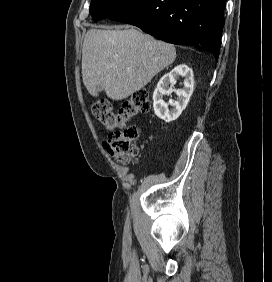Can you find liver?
Instances as JSON below:
<instances>
[{
    "label": "liver",
    "mask_w": 272,
    "mask_h": 282,
    "mask_svg": "<svg viewBox=\"0 0 272 282\" xmlns=\"http://www.w3.org/2000/svg\"><path fill=\"white\" fill-rule=\"evenodd\" d=\"M176 58L173 45L135 28L90 29L82 50V78L92 96L104 89L112 100L139 91Z\"/></svg>",
    "instance_id": "1"
}]
</instances>
